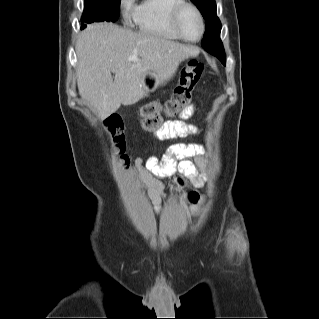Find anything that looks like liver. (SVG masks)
Listing matches in <instances>:
<instances>
[{"mask_svg":"<svg viewBox=\"0 0 319 319\" xmlns=\"http://www.w3.org/2000/svg\"><path fill=\"white\" fill-rule=\"evenodd\" d=\"M198 53L193 46L151 33H135L106 22L90 24L76 42L79 94L105 119L121 104H134L147 94L144 73H154L163 84L182 61ZM131 56L137 59L129 61Z\"/></svg>","mask_w":319,"mask_h":319,"instance_id":"1","label":"liver"}]
</instances>
